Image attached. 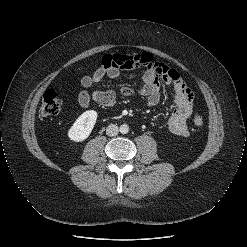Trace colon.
<instances>
[{
	"instance_id": "5ec220e1",
	"label": "colon",
	"mask_w": 247,
	"mask_h": 247,
	"mask_svg": "<svg viewBox=\"0 0 247 247\" xmlns=\"http://www.w3.org/2000/svg\"><path fill=\"white\" fill-rule=\"evenodd\" d=\"M62 108V100L54 90H47L42 99V103L39 110V115L42 118H48L57 115ZM193 124L197 128H202L205 125L204 116L196 112L192 118Z\"/></svg>"
}]
</instances>
